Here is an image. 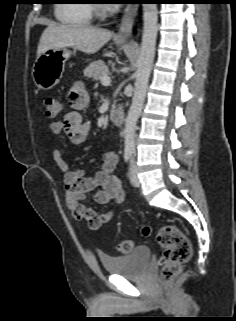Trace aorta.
Listing matches in <instances>:
<instances>
[{"mask_svg": "<svg viewBox=\"0 0 236 321\" xmlns=\"http://www.w3.org/2000/svg\"><path fill=\"white\" fill-rule=\"evenodd\" d=\"M157 20V4H143V34L135 72V89L132 103L125 119V149L130 151L135 148L136 123L143 108L155 56Z\"/></svg>", "mask_w": 236, "mask_h": 321, "instance_id": "obj_1", "label": "aorta"}]
</instances>
